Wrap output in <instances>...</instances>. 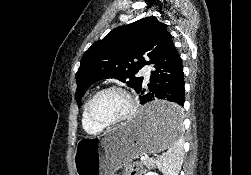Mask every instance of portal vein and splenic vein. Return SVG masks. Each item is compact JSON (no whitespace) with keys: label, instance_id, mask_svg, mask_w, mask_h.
Wrapping results in <instances>:
<instances>
[{"label":"portal vein and splenic vein","instance_id":"1","mask_svg":"<svg viewBox=\"0 0 251 175\" xmlns=\"http://www.w3.org/2000/svg\"><path fill=\"white\" fill-rule=\"evenodd\" d=\"M147 157H148V154H147V153H142V154H141V159H142V160H145Z\"/></svg>","mask_w":251,"mask_h":175}]
</instances>
